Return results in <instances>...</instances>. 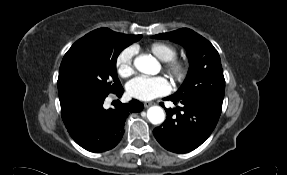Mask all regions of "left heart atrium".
Listing matches in <instances>:
<instances>
[{"label":"left heart atrium","mask_w":287,"mask_h":175,"mask_svg":"<svg viewBox=\"0 0 287 175\" xmlns=\"http://www.w3.org/2000/svg\"><path fill=\"white\" fill-rule=\"evenodd\" d=\"M127 93L138 100L149 101L169 93L171 86L163 76H138L128 82Z\"/></svg>","instance_id":"1"}]
</instances>
